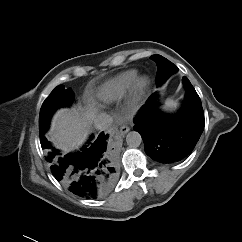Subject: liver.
Wrapping results in <instances>:
<instances>
[{
	"label": "liver",
	"mask_w": 242,
	"mask_h": 242,
	"mask_svg": "<svg viewBox=\"0 0 242 242\" xmlns=\"http://www.w3.org/2000/svg\"><path fill=\"white\" fill-rule=\"evenodd\" d=\"M95 117V109H90L84 114L75 110L60 109L52 118L48 139L65 152L78 149L87 139L89 124Z\"/></svg>",
	"instance_id": "obj_1"
}]
</instances>
